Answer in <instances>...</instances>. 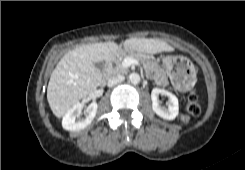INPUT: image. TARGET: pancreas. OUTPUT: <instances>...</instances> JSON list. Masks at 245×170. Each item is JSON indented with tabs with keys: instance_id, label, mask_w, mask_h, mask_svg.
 <instances>
[{
	"instance_id": "cf45deb5",
	"label": "pancreas",
	"mask_w": 245,
	"mask_h": 170,
	"mask_svg": "<svg viewBox=\"0 0 245 170\" xmlns=\"http://www.w3.org/2000/svg\"><path fill=\"white\" fill-rule=\"evenodd\" d=\"M126 57H131L136 59L139 63L143 65L147 74L155 81V84L158 86H167L169 85L168 77L163 68H161L157 62L152 61L142 54L135 53L134 51H123L115 59V70L116 74H124L127 72V68L122 66V62Z\"/></svg>"
}]
</instances>
